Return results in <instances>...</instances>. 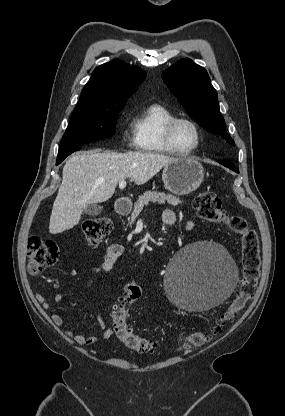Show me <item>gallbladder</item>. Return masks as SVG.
I'll return each instance as SVG.
<instances>
[{
  "instance_id": "1",
  "label": "gallbladder",
  "mask_w": 285,
  "mask_h": 416,
  "mask_svg": "<svg viewBox=\"0 0 285 416\" xmlns=\"http://www.w3.org/2000/svg\"><path fill=\"white\" fill-rule=\"evenodd\" d=\"M101 212L102 206H98V204H89L86 210H84V214H88V216H98Z\"/></svg>"
}]
</instances>
